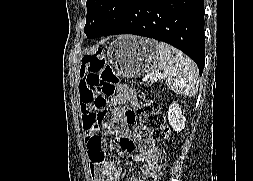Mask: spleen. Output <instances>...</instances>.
I'll list each match as a JSON object with an SVG mask.
<instances>
[{
	"label": "spleen",
	"mask_w": 253,
	"mask_h": 181,
	"mask_svg": "<svg viewBox=\"0 0 253 181\" xmlns=\"http://www.w3.org/2000/svg\"><path fill=\"white\" fill-rule=\"evenodd\" d=\"M158 74L167 86L184 96L194 97L198 92L199 71L195 63L174 47L159 42Z\"/></svg>",
	"instance_id": "1"
}]
</instances>
